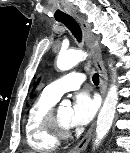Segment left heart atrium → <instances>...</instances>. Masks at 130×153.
<instances>
[{"label":"left heart atrium","instance_id":"left-heart-atrium-1","mask_svg":"<svg viewBox=\"0 0 130 153\" xmlns=\"http://www.w3.org/2000/svg\"><path fill=\"white\" fill-rule=\"evenodd\" d=\"M99 108V100L88 92L75 96L71 109L70 126L85 125L95 116Z\"/></svg>","mask_w":130,"mask_h":153}]
</instances>
